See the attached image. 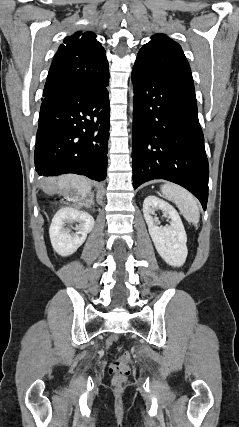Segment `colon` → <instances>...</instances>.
<instances>
[{"instance_id":"5ec220e1","label":"colon","mask_w":239,"mask_h":427,"mask_svg":"<svg viewBox=\"0 0 239 427\" xmlns=\"http://www.w3.org/2000/svg\"><path fill=\"white\" fill-rule=\"evenodd\" d=\"M129 354L126 353L120 358L114 360L110 366V374L113 377V382L116 386H122L128 375L130 374Z\"/></svg>"}]
</instances>
